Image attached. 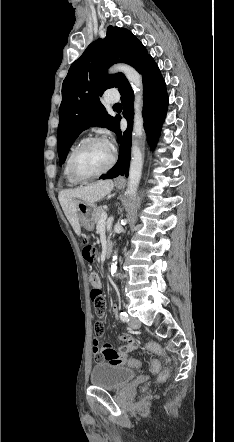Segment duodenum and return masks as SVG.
<instances>
[{"mask_svg":"<svg viewBox=\"0 0 234 442\" xmlns=\"http://www.w3.org/2000/svg\"><path fill=\"white\" fill-rule=\"evenodd\" d=\"M112 253V245L111 244H107L104 249L102 250V257L103 259H107L110 254Z\"/></svg>","mask_w":234,"mask_h":442,"instance_id":"410a0bca","label":"duodenum"}]
</instances>
